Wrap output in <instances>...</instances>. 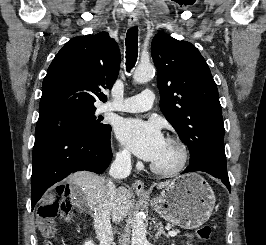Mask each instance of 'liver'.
<instances>
[{
	"label": "liver",
	"instance_id": "obj_1",
	"mask_svg": "<svg viewBox=\"0 0 266 245\" xmlns=\"http://www.w3.org/2000/svg\"><path fill=\"white\" fill-rule=\"evenodd\" d=\"M70 179L73 181V185H75L79 191H82L88 207L93 211L92 203H94L98 191L106 187L108 179L99 177V175H95V173H89V171H78V173H73V175H70ZM169 183L170 181L159 183L157 189H164ZM129 199H131V197L128 189H125V187H118V189H116V197L112 201L113 207L110 213L111 219L116 225H119L123 219H126L127 213L131 207V201H129Z\"/></svg>",
	"mask_w": 266,
	"mask_h": 245
}]
</instances>
